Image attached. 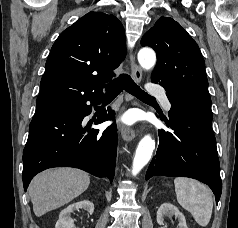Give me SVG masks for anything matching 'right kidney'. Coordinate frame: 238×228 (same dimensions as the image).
Wrapping results in <instances>:
<instances>
[{
    "mask_svg": "<svg viewBox=\"0 0 238 228\" xmlns=\"http://www.w3.org/2000/svg\"><path fill=\"white\" fill-rule=\"evenodd\" d=\"M79 209H83L89 214H92L94 212V204L91 201L84 200L69 205L60 212L55 228H76L74 220L71 218V213Z\"/></svg>",
    "mask_w": 238,
    "mask_h": 228,
    "instance_id": "ca27d5eb",
    "label": "right kidney"
}]
</instances>
